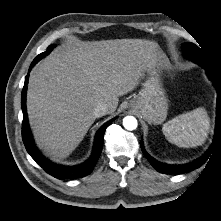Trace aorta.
Returning a JSON list of instances; mask_svg holds the SVG:
<instances>
[{
	"mask_svg": "<svg viewBox=\"0 0 221 221\" xmlns=\"http://www.w3.org/2000/svg\"><path fill=\"white\" fill-rule=\"evenodd\" d=\"M137 119L133 116H126L124 119H123V126L125 129L127 130H134L137 128Z\"/></svg>",
	"mask_w": 221,
	"mask_h": 221,
	"instance_id": "1",
	"label": "aorta"
}]
</instances>
